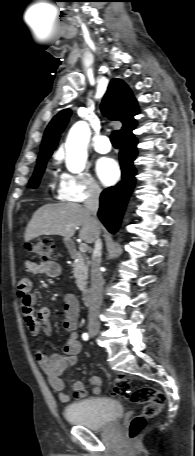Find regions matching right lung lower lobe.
Segmentation results:
<instances>
[{"mask_svg":"<svg viewBox=\"0 0 195 456\" xmlns=\"http://www.w3.org/2000/svg\"><path fill=\"white\" fill-rule=\"evenodd\" d=\"M136 145L137 139L132 133L123 136L119 153L122 180L116 186L105 189L100 197L98 217L111 233L118 230L128 198L135 185L136 170L133 161L137 155Z\"/></svg>","mask_w":195,"mask_h":456,"instance_id":"obj_1","label":"right lung lower lobe"}]
</instances>
